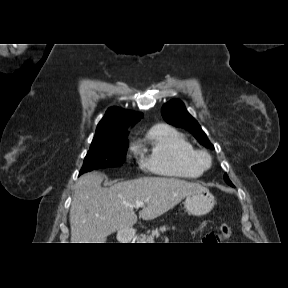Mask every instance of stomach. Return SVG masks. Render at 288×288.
Returning <instances> with one entry per match:
<instances>
[{
	"label": "stomach",
	"mask_w": 288,
	"mask_h": 288,
	"mask_svg": "<svg viewBox=\"0 0 288 288\" xmlns=\"http://www.w3.org/2000/svg\"><path fill=\"white\" fill-rule=\"evenodd\" d=\"M215 205V198L207 188H202L190 195L184 201V206L189 214L201 216L209 213ZM122 241L132 238V232H124L118 234Z\"/></svg>",
	"instance_id": "0dacf381"
}]
</instances>
